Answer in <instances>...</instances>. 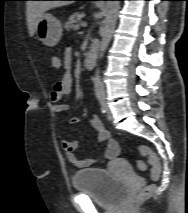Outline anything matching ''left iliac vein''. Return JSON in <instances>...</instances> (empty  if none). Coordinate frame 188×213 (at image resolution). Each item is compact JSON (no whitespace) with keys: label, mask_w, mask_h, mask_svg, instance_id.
Returning a JSON list of instances; mask_svg holds the SVG:
<instances>
[{"label":"left iliac vein","mask_w":188,"mask_h":213,"mask_svg":"<svg viewBox=\"0 0 188 213\" xmlns=\"http://www.w3.org/2000/svg\"><path fill=\"white\" fill-rule=\"evenodd\" d=\"M107 118H108V120H112L113 119L112 112H111V110L108 107H107Z\"/></svg>","instance_id":"left-iliac-vein-1"}]
</instances>
